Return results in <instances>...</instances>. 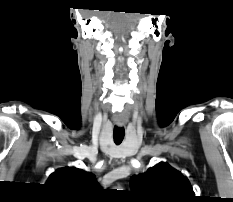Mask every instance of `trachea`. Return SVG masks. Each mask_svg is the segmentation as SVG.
I'll return each mask as SVG.
<instances>
[{
    "label": "trachea",
    "mask_w": 233,
    "mask_h": 202,
    "mask_svg": "<svg viewBox=\"0 0 233 202\" xmlns=\"http://www.w3.org/2000/svg\"><path fill=\"white\" fill-rule=\"evenodd\" d=\"M124 135H125V130L123 127H117V126L114 127L113 138H114V142L117 145L123 141Z\"/></svg>",
    "instance_id": "1"
}]
</instances>
